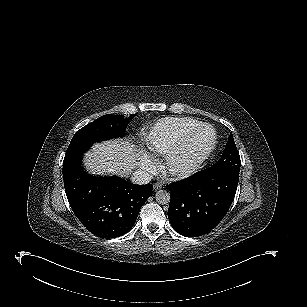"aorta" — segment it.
Segmentation results:
<instances>
[{"label": "aorta", "mask_w": 307, "mask_h": 307, "mask_svg": "<svg viewBox=\"0 0 307 307\" xmlns=\"http://www.w3.org/2000/svg\"><path fill=\"white\" fill-rule=\"evenodd\" d=\"M155 199L161 205L168 204L170 202V193L166 190H159L156 192Z\"/></svg>", "instance_id": "762f6f07"}]
</instances>
